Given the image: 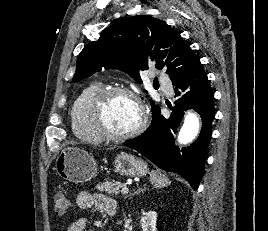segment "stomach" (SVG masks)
<instances>
[{"mask_svg":"<svg viewBox=\"0 0 268 231\" xmlns=\"http://www.w3.org/2000/svg\"><path fill=\"white\" fill-rule=\"evenodd\" d=\"M113 166L115 172L127 177H143L149 172L146 162L124 152L115 157ZM55 170L64 180L84 183L96 176L97 163L87 151L71 146L58 155Z\"/></svg>","mask_w":268,"mask_h":231,"instance_id":"1","label":"stomach"}]
</instances>
